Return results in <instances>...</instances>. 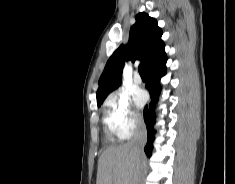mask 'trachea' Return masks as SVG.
<instances>
[{
	"instance_id": "3493384b",
	"label": "trachea",
	"mask_w": 235,
	"mask_h": 184,
	"mask_svg": "<svg viewBox=\"0 0 235 184\" xmlns=\"http://www.w3.org/2000/svg\"><path fill=\"white\" fill-rule=\"evenodd\" d=\"M139 73H140L141 77H146L147 76L146 72H145V66H144L143 63H141L139 65Z\"/></svg>"
}]
</instances>
